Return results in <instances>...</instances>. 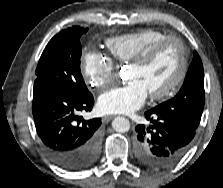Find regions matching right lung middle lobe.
Returning <instances> with one entry per match:
<instances>
[{
  "label": "right lung middle lobe",
  "instance_id": "obj_1",
  "mask_svg": "<svg viewBox=\"0 0 223 188\" xmlns=\"http://www.w3.org/2000/svg\"><path fill=\"white\" fill-rule=\"evenodd\" d=\"M87 30L73 26L50 40L36 68L35 86L65 91L78 97L91 94L80 71V37Z\"/></svg>",
  "mask_w": 223,
  "mask_h": 188
}]
</instances>
